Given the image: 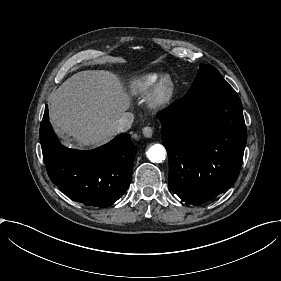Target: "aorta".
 <instances>
[{"label": "aorta", "mask_w": 281, "mask_h": 281, "mask_svg": "<svg viewBox=\"0 0 281 281\" xmlns=\"http://www.w3.org/2000/svg\"><path fill=\"white\" fill-rule=\"evenodd\" d=\"M146 156L153 163H161L166 158V149L161 144H154L149 147Z\"/></svg>", "instance_id": "aorta-1"}]
</instances>
